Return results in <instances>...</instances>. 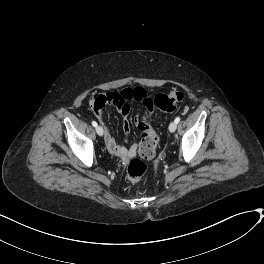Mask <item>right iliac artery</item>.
<instances>
[{"label":"right iliac artery","instance_id":"82829eb1","mask_svg":"<svg viewBox=\"0 0 264 264\" xmlns=\"http://www.w3.org/2000/svg\"><path fill=\"white\" fill-rule=\"evenodd\" d=\"M92 125H93L94 127H97V126H98V124H97L96 121H92Z\"/></svg>","mask_w":264,"mask_h":264}]
</instances>
